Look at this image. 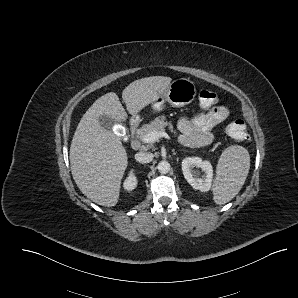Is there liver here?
I'll return each instance as SVG.
<instances>
[{"mask_svg":"<svg viewBox=\"0 0 298 298\" xmlns=\"http://www.w3.org/2000/svg\"><path fill=\"white\" fill-rule=\"evenodd\" d=\"M167 76L144 77L122 92L128 112L134 114L161 95L171 82ZM120 120L126 116L116 93L97 99L80 120L70 146V169L81 192L103 206H114L127 155L120 138L98 123L100 115Z\"/></svg>","mask_w":298,"mask_h":298,"instance_id":"obj_1","label":"liver"}]
</instances>
